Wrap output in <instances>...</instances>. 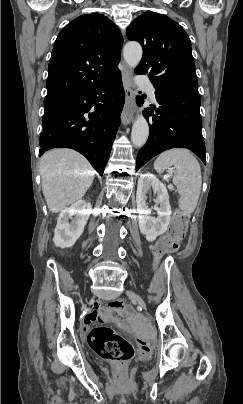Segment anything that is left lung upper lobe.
I'll return each instance as SVG.
<instances>
[{
  "label": "left lung upper lobe",
  "instance_id": "obj_1",
  "mask_svg": "<svg viewBox=\"0 0 243 404\" xmlns=\"http://www.w3.org/2000/svg\"><path fill=\"white\" fill-rule=\"evenodd\" d=\"M127 37L143 48L135 73L147 74L157 89L198 93L191 42L177 22L156 12H144L127 28Z\"/></svg>",
  "mask_w": 243,
  "mask_h": 404
}]
</instances>
